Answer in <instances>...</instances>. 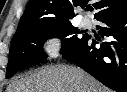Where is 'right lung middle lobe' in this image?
I'll use <instances>...</instances> for the list:
<instances>
[{"mask_svg": "<svg viewBox=\"0 0 127 92\" xmlns=\"http://www.w3.org/2000/svg\"><path fill=\"white\" fill-rule=\"evenodd\" d=\"M79 30L71 23L59 26H36L11 40L6 78H10L25 65L46 59L42 50L44 42L52 37L61 38V53L67 54L79 47L88 34L78 36Z\"/></svg>", "mask_w": 127, "mask_h": 92, "instance_id": "obj_1", "label": "right lung middle lobe"}]
</instances>
